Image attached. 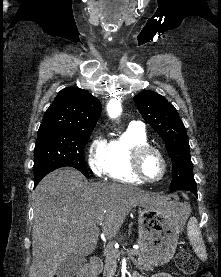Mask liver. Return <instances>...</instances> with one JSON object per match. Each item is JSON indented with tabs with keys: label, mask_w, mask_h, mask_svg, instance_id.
I'll list each match as a JSON object with an SVG mask.
<instances>
[{
	"label": "liver",
	"mask_w": 221,
	"mask_h": 277,
	"mask_svg": "<svg viewBox=\"0 0 221 277\" xmlns=\"http://www.w3.org/2000/svg\"><path fill=\"white\" fill-rule=\"evenodd\" d=\"M166 200L139 188L116 183H90L77 170L62 168L45 176L34 193L33 261L29 277H53L71 255L88 256L102 230L115 237L136 206H166Z\"/></svg>",
	"instance_id": "obj_1"
}]
</instances>
